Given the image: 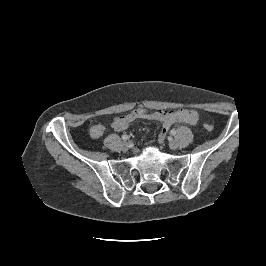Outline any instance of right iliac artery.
I'll return each mask as SVG.
<instances>
[{
  "label": "right iliac artery",
  "instance_id": "82829eb1",
  "mask_svg": "<svg viewBox=\"0 0 266 266\" xmlns=\"http://www.w3.org/2000/svg\"><path fill=\"white\" fill-rule=\"evenodd\" d=\"M122 139L125 141V140H128L129 139V136L128 135H122Z\"/></svg>",
  "mask_w": 266,
  "mask_h": 266
}]
</instances>
